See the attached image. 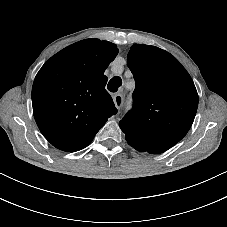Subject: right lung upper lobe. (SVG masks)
<instances>
[{"mask_svg":"<svg viewBox=\"0 0 227 227\" xmlns=\"http://www.w3.org/2000/svg\"><path fill=\"white\" fill-rule=\"evenodd\" d=\"M117 53L111 42L86 39L52 56L37 73L33 114L41 133L56 148L67 152L85 148L117 113L104 75Z\"/></svg>","mask_w":227,"mask_h":227,"instance_id":"1","label":"right lung upper lobe"}]
</instances>
